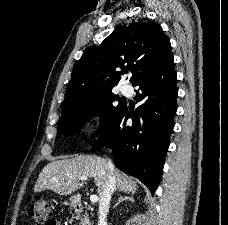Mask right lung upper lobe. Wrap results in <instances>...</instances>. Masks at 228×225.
<instances>
[{"instance_id":"1","label":"right lung upper lobe","mask_w":228,"mask_h":225,"mask_svg":"<svg viewBox=\"0 0 228 225\" xmlns=\"http://www.w3.org/2000/svg\"><path fill=\"white\" fill-rule=\"evenodd\" d=\"M170 55L169 38L158 23H124L75 63L62 107L112 91L127 70L133 72L130 82L136 85Z\"/></svg>"}]
</instances>
